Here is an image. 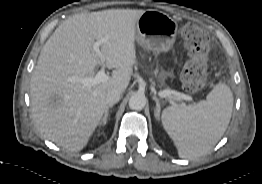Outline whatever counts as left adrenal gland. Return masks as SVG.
Segmentation results:
<instances>
[{
    "label": "left adrenal gland",
    "instance_id": "left-adrenal-gland-1",
    "mask_svg": "<svg viewBox=\"0 0 262 184\" xmlns=\"http://www.w3.org/2000/svg\"><path fill=\"white\" fill-rule=\"evenodd\" d=\"M153 100L156 102V107H155V117L159 119L160 116V101L157 97H153Z\"/></svg>",
    "mask_w": 262,
    "mask_h": 184
}]
</instances>
